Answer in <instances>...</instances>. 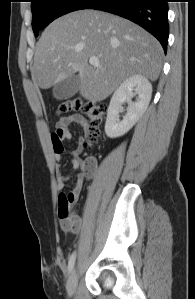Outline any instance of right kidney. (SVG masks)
Segmentation results:
<instances>
[{
	"instance_id": "1",
	"label": "right kidney",
	"mask_w": 195,
	"mask_h": 299,
	"mask_svg": "<svg viewBox=\"0 0 195 299\" xmlns=\"http://www.w3.org/2000/svg\"><path fill=\"white\" fill-rule=\"evenodd\" d=\"M138 95L132 102L134 95ZM152 95V85L142 75H133L126 79L114 92L107 110L105 133L109 138H117L127 133L146 111ZM128 103L127 113L119 119L122 104Z\"/></svg>"
}]
</instances>
